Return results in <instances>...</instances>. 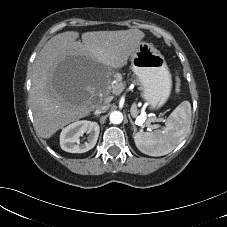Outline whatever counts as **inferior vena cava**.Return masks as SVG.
<instances>
[{
  "label": "inferior vena cava",
  "mask_w": 227,
  "mask_h": 227,
  "mask_svg": "<svg viewBox=\"0 0 227 227\" xmlns=\"http://www.w3.org/2000/svg\"><path fill=\"white\" fill-rule=\"evenodd\" d=\"M95 114H100V113H104L107 111V109L109 108V105L107 103V101H104L102 104L99 105H95Z\"/></svg>",
  "instance_id": "1"
}]
</instances>
